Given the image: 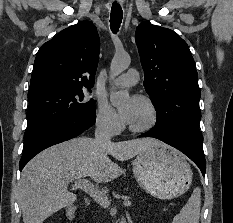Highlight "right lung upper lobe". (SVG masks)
I'll return each instance as SVG.
<instances>
[{"mask_svg":"<svg viewBox=\"0 0 233 223\" xmlns=\"http://www.w3.org/2000/svg\"><path fill=\"white\" fill-rule=\"evenodd\" d=\"M99 49L93 24L83 22L62 30L37 52L28 94L58 87H92Z\"/></svg>","mask_w":233,"mask_h":223,"instance_id":"right-lung-upper-lobe-1","label":"right lung upper lobe"}]
</instances>
